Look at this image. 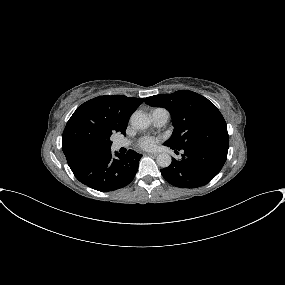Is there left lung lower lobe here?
Returning <instances> with one entry per match:
<instances>
[{
  "instance_id": "1",
  "label": "left lung lower lobe",
  "mask_w": 285,
  "mask_h": 285,
  "mask_svg": "<svg viewBox=\"0 0 285 285\" xmlns=\"http://www.w3.org/2000/svg\"><path fill=\"white\" fill-rule=\"evenodd\" d=\"M177 152V151H176ZM227 152L202 147L183 150L181 160L161 169L167 182L179 188H198L209 183L222 169Z\"/></svg>"
}]
</instances>
